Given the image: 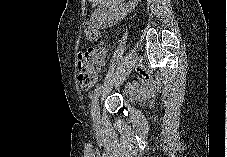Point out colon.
<instances>
[{"label": "colon", "mask_w": 227, "mask_h": 157, "mask_svg": "<svg viewBox=\"0 0 227 157\" xmlns=\"http://www.w3.org/2000/svg\"><path fill=\"white\" fill-rule=\"evenodd\" d=\"M85 41L88 44L94 43L100 38V31L92 25H87L85 28ZM107 47L104 44L88 48L80 54L78 62V81L84 88H89L93 85L98 67L103 61Z\"/></svg>", "instance_id": "5ec220e1"}]
</instances>
